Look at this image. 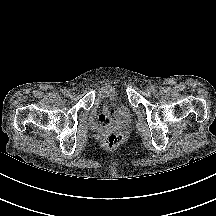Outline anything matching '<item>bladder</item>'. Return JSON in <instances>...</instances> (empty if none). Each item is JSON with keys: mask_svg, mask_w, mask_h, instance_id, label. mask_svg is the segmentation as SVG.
I'll return each mask as SVG.
<instances>
[{"mask_svg": "<svg viewBox=\"0 0 216 216\" xmlns=\"http://www.w3.org/2000/svg\"><path fill=\"white\" fill-rule=\"evenodd\" d=\"M100 102L115 105L116 111L107 122L109 125L123 127L130 123L132 119V111L115 92L108 91L103 93L100 97Z\"/></svg>", "mask_w": 216, "mask_h": 216, "instance_id": "1", "label": "bladder"}]
</instances>
